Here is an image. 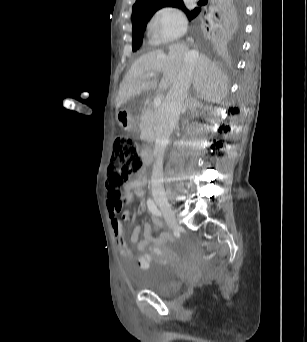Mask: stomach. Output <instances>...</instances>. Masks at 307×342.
<instances>
[{"instance_id": "obj_1", "label": "stomach", "mask_w": 307, "mask_h": 342, "mask_svg": "<svg viewBox=\"0 0 307 342\" xmlns=\"http://www.w3.org/2000/svg\"><path fill=\"white\" fill-rule=\"evenodd\" d=\"M117 120L119 125L126 130L131 129L133 126V118L126 111H119L117 113Z\"/></svg>"}]
</instances>
